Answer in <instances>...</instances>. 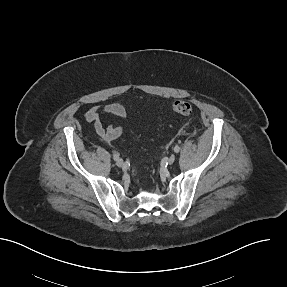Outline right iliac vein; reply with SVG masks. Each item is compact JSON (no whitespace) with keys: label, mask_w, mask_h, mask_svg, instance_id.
Masks as SVG:
<instances>
[{"label":"right iliac vein","mask_w":287,"mask_h":287,"mask_svg":"<svg viewBox=\"0 0 287 287\" xmlns=\"http://www.w3.org/2000/svg\"><path fill=\"white\" fill-rule=\"evenodd\" d=\"M116 165H117L118 167H122V166L124 165V161L119 158V159L116 161Z\"/></svg>","instance_id":"1"}]
</instances>
